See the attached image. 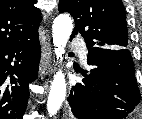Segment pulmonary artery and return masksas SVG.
Masks as SVG:
<instances>
[{"label": "pulmonary artery", "instance_id": "e3ab8cb5", "mask_svg": "<svg viewBox=\"0 0 142 119\" xmlns=\"http://www.w3.org/2000/svg\"><path fill=\"white\" fill-rule=\"evenodd\" d=\"M73 45H76L79 47V56L82 63H86L87 61V48L82 43V41L78 38H74L71 42Z\"/></svg>", "mask_w": 142, "mask_h": 119}]
</instances>
